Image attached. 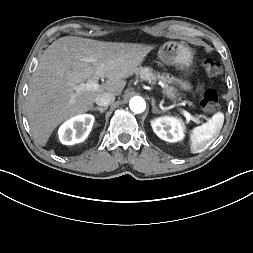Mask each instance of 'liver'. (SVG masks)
Segmentation results:
<instances>
[{
  "label": "liver",
  "mask_w": 253,
  "mask_h": 253,
  "mask_svg": "<svg viewBox=\"0 0 253 253\" xmlns=\"http://www.w3.org/2000/svg\"><path fill=\"white\" fill-rule=\"evenodd\" d=\"M152 49L76 36L53 42L42 54L27 94L26 116L36 141L46 145L59 124L90 110L97 95H120L125 79L137 73ZM99 78L107 79L99 90L76 94V85Z\"/></svg>",
  "instance_id": "6515ba94"
}]
</instances>
